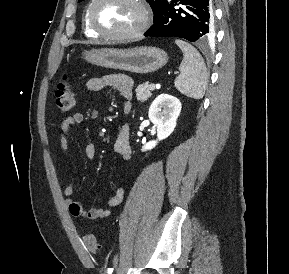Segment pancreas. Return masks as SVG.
Instances as JSON below:
<instances>
[{"mask_svg":"<svg viewBox=\"0 0 289 274\" xmlns=\"http://www.w3.org/2000/svg\"><path fill=\"white\" fill-rule=\"evenodd\" d=\"M151 92V84H149V82L138 85V87L136 88L137 100L141 102L148 100L152 95Z\"/></svg>","mask_w":289,"mask_h":274,"instance_id":"1","label":"pancreas"}]
</instances>
